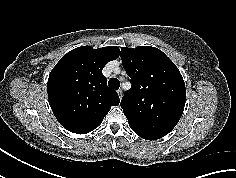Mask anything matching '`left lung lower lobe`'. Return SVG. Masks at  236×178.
Segmentation results:
<instances>
[{"label":"left lung lower lobe","instance_id":"0a47b994","mask_svg":"<svg viewBox=\"0 0 236 178\" xmlns=\"http://www.w3.org/2000/svg\"><path fill=\"white\" fill-rule=\"evenodd\" d=\"M134 132H135L138 136H140L141 138L146 139V140H156V139L161 138L160 136H157V135L145 134V133L136 132V131H134Z\"/></svg>","mask_w":236,"mask_h":178}]
</instances>
